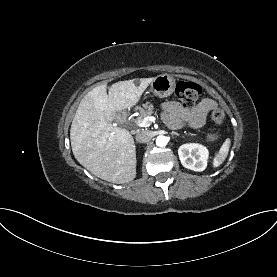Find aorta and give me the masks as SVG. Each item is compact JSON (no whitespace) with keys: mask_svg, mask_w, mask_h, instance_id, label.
<instances>
[{"mask_svg":"<svg viewBox=\"0 0 277 277\" xmlns=\"http://www.w3.org/2000/svg\"><path fill=\"white\" fill-rule=\"evenodd\" d=\"M167 143H168V139L165 136L161 135L156 138V145L159 147H164L167 145Z\"/></svg>","mask_w":277,"mask_h":277,"instance_id":"obj_1","label":"aorta"}]
</instances>
